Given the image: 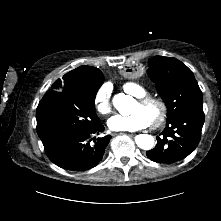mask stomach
<instances>
[{"label":"stomach","mask_w":221,"mask_h":221,"mask_svg":"<svg viewBox=\"0 0 221 221\" xmlns=\"http://www.w3.org/2000/svg\"><path fill=\"white\" fill-rule=\"evenodd\" d=\"M123 75L127 79H140L144 75V68L140 64H134V63H127L123 67Z\"/></svg>","instance_id":"stomach-1"}]
</instances>
